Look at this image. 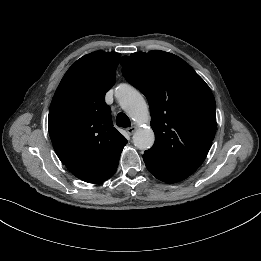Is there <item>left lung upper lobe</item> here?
I'll list each match as a JSON object with an SVG mask.
<instances>
[{"label": "left lung upper lobe", "instance_id": "5c2ea615", "mask_svg": "<svg viewBox=\"0 0 261 261\" xmlns=\"http://www.w3.org/2000/svg\"><path fill=\"white\" fill-rule=\"evenodd\" d=\"M125 79L150 106L155 143L145 151L173 165L198 168L216 132L214 96L184 60L163 51L133 53L121 59Z\"/></svg>", "mask_w": 261, "mask_h": 261}]
</instances>
